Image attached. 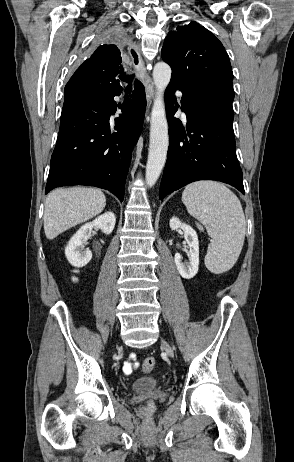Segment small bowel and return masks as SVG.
I'll use <instances>...</instances> for the list:
<instances>
[{"label":"small bowel","instance_id":"obj_1","mask_svg":"<svg viewBox=\"0 0 294 462\" xmlns=\"http://www.w3.org/2000/svg\"><path fill=\"white\" fill-rule=\"evenodd\" d=\"M136 358V355L134 353L130 354V360L129 361H126L124 364H123V372L126 374V375H129L131 374L133 371H135L138 366H139V363L134 361Z\"/></svg>","mask_w":294,"mask_h":462}]
</instances>
